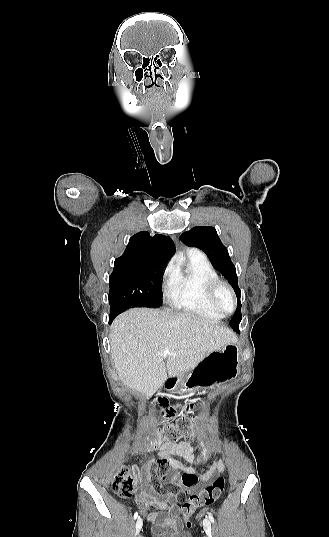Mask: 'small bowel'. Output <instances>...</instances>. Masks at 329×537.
Here are the masks:
<instances>
[{"label": "small bowel", "mask_w": 329, "mask_h": 537, "mask_svg": "<svg viewBox=\"0 0 329 537\" xmlns=\"http://www.w3.org/2000/svg\"><path fill=\"white\" fill-rule=\"evenodd\" d=\"M198 402V399H193ZM192 401L187 399L181 405L175 403L164 404V412L159 409V420L170 422L176 413H194L195 409L191 408ZM208 454H194L191 445L188 442L164 443L158 453L157 467L154 471L155 476H161V484L154 489L150 485V480L138 468H134L136 479L139 483L145 481V487H140L136 494V504L142 514H147L148 520L154 525L153 531L162 530H179L184 523L180 518V507L184 506L188 500L186 493H192L196 490L197 483H208L218 473L223 472L225 465L222 460L215 461L207 470L199 474L192 466H185L174 457H181L190 463H199L206 458ZM150 462L144 461V466ZM166 485L174 488L167 489ZM182 488L185 490L182 491ZM158 507L160 512H149L150 508Z\"/></svg>", "instance_id": "obj_1"}]
</instances>
